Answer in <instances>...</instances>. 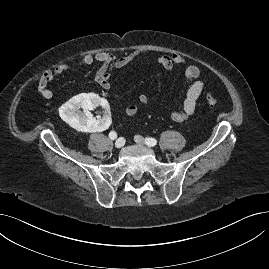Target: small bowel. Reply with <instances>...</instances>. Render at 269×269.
<instances>
[{
  "instance_id": "1",
  "label": "small bowel",
  "mask_w": 269,
  "mask_h": 269,
  "mask_svg": "<svg viewBox=\"0 0 269 269\" xmlns=\"http://www.w3.org/2000/svg\"><path fill=\"white\" fill-rule=\"evenodd\" d=\"M149 57L150 53L145 49L136 50L125 56H117L108 52H98L95 55L86 54L72 65L60 64L53 69L44 71L38 80L37 91L45 99H51L54 94L48 86L56 77L72 68L88 66L94 61L100 63V67L95 74L96 83L102 89L109 90L111 88L110 72L112 69L123 68ZM155 60L158 65L167 70L174 66L185 67L184 76L186 81L189 83V87L182 102V108L171 112V118L173 121L177 123H185L194 114L197 100L206 84L205 80L198 79L201 75V70L196 65H187L186 59L179 54L159 55ZM139 102L143 105L149 104L147 95L141 94L139 96ZM137 112L138 106L136 104H128L125 107V113L128 116H134Z\"/></svg>"
}]
</instances>
